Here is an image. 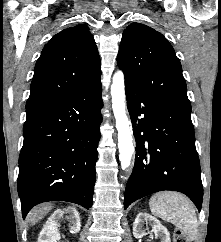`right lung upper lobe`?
<instances>
[{
  "label": "right lung upper lobe",
  "mask_w": 221,
  "mask_h": 242,
  "mask_svg": "<svg viewBox=\"0 0 221 242\" xmlns=\"http://www.w3.org/2000/svg\"><path fill=\"white\" fill-rule=\"evenodd\" d=\"M101 74L97 46L84 24L62 30L36 62L26 107L60 99Z\"/></svg>",
  "instance_id": "cb5924a9"
}]
</instances>
